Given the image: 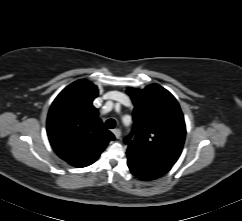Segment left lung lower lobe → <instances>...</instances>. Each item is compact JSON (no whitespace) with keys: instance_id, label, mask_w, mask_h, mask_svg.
Returning <instances> with one entry per match:
<instances>
[{"instance_id":"0a47b994","label":"left lung lower lobe","mask_w":242,"mask_h":221,"mask_svg":"<svg viewBox=\"0 0 242 221\" xmlns=\"http://www.w3.org/2000/svg\"><path fill=\"white\" fill-rule=\"evenodd\" d=\"M128 167L133 175L143 181H150L163 176L171 165L161 161L139 156L127 151Z\"/></svg>"}]
</instances>
